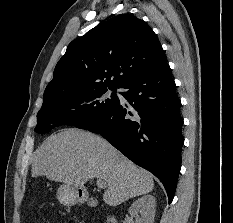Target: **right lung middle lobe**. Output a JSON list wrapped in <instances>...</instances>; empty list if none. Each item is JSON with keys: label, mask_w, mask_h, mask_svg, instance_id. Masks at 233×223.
<instances>
[{"label": "right lung middle lobe", "mask_w": 233, "mask_h": 223, "mask_svg": "<svg viewBox=\"0 0 233 223\" xmlns=\"http://www.w3.org/2000/svg\"><path fill=\"white\" fill-rule=\"evenodd\" d=\"M110 90L115 88L109 87ZM107 87L93 88L65 96L43 104L37 114V133H46L52 128L69 125L80 127L89 123L105 111L112 110L118 104V97L113 93L105 96Z\"/></svg>", "instance_id": "1"}]
</instances>
